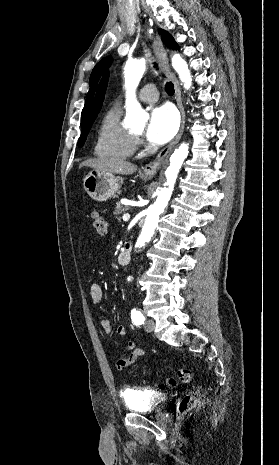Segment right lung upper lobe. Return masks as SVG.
I'll use <instances>...</instances> for the list:
<instances>
[{
	"mask_svg": "<svg viewBox=\"0 0 279 465\" xmlns=\"http://www.w3.org/2000/svg\"><path fill=\"white\" fill-rule=\"evenodd\" d=\"M108 77H109V74L106 73L104 75L101 83L99 84L95 100L93 102L90 114H89V116L87 118V121L85 123V126H84L82 132H85L89 128H91L92 123L96 119V117H97V115H98V113H99V111L101 109V106H102V103H103V100H104V95H105V92H106V89H107Z\"/></svg>",
	"mask_w": 279,
	"mask_h": 465,
	"instance_id": "obj_1",
	"label": "right lung upper lobe"
}]
</instances>
